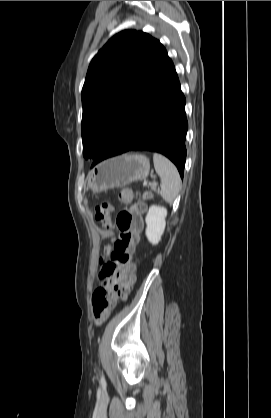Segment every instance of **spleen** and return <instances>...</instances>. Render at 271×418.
Wrapping results in <instances>:
<instances>
[{"mask_svg":"<svg viewBox=\"0 0 271 418\" xmlns=\"http://www.w3.org/2000/svg\"><path fill=\"white\" fill-rule=\"evenodd\" d=\"M154 168L161 178L162 198L167 203H173L181 189V179L175 165L161 154L153 155Z\"/></svg>","mask_w":271,"mask_h":418,"instance_id":"obj_1","label":"spleen"}]
</instances>
